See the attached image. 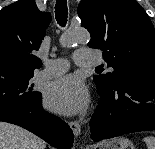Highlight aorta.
Wrapping results in <instances>:
<instances>
[{
    "label": "aorta",
    "instance_id": "762f6f07",
    "mask_svg": "<svg viewBox=\"0 0 155 149\" xmlns=\"http://www.w3.org/2000/svg\"><path fill=\"white\" fill-rule=\"evenodd\" d=\"M89 39V33L84 29H79L71 31L67 35L63 36L60 42L63 46L69 47L73 44L87 43Z\"/></svg>",
    "mask_w": 155,
    "mask_h": 149
}]
</instances>
